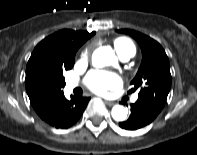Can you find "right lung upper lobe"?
Segmentation results:
<instances>
[{
	"label": "right lung upper lobe",
	"instance_id": "1",
	"mask_svg": "<svg viewBox=\"0 0 197 155\" xmlns=\"http://www.w3.org/2000/svg\"><path fill=\"white\" fill-rule=\"evenodd\" d=\"M95 32L60 30L44 40L34 49L26 67L25 87L31 105L43 118L63 96L61 88L45 89L36 83L38 73L50 68L62 59L75 56L79 47Z\"/></svg>",
	"mask_w": 197,
	"mask_h": 155
}]
</instances>
